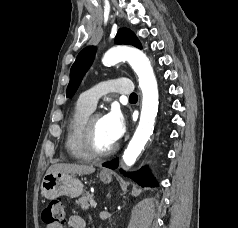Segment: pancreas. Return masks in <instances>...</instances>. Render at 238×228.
I'll use <instances>...</instances> for the list:
<instances>
[{
  "label": "pancreas",
  "instance_id": "obj_1",
  "mask_svg": "<svg viewBox=\"0 0 238 228\" xmlns=\"http://www.w3.org/2000/svg\"><path fill=\"white\" fill-rule=\"evenodd\" d=\"M93 199V195H91L89 192H86V194L78 199L76 203L81 207L82 210L86 211L89 209V202Z\"/></svg>",
  "mask_w": 238,
  "mask_h": 228
}]
</instances>
